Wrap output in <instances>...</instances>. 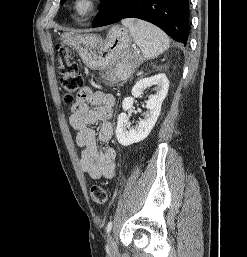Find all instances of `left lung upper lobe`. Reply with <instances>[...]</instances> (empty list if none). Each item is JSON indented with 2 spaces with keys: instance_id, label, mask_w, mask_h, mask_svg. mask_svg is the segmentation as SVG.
I'll list each match as a JSON object with an SVG mask.
<instances>
[{
  "instance_id": "left-lung-upper-lobe-1",
  "label": "left lung upper lobe",
  "mask_w": 247,
  "mask_h": 257,
  "mask_svg": "<svg viewBox=\"0 0 247 257\" xmlns=\"http://www.w3.org/2000/svg\"><path fill=\"white\" fill-rule=\"evenodd\" d=\"M66 0H61V4H63ZM106 0H100L101 5L105 2Z\"/></svg>"
}]
</instances>
